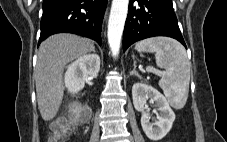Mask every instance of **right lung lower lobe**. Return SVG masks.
Instances as JSON below:
<instances>
[{
  "mask_svg": "<svg viewBox=\"0 0 227 142\" xmlns=\"http://www.w3.org/2000/svg\"><path fill=\"white\" fill-rule=\"evenodd\" d=\"M107 0H43L40 44L56 33H74L101 45V27Z\"/></svg>",
  "mask_w": 227,
  "mask_h": 142,
  "instance_id": "1",
  "label": "right lung lower lobe"
}]
</instances>
